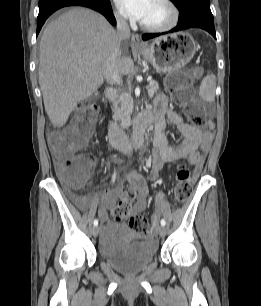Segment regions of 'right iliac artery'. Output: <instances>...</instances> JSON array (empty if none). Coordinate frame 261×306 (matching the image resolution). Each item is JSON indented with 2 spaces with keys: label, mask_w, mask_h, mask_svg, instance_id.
Instances as JSON below:
<instances>
[{
  "label": "right iliac artery",
  "mask_w": 261,
  "mask_h": 306,
  "mask_svg": "<svg viewBox=\"0 0 261 306\" xmlns=\"http://www.w3.org/2000/svg\"><path fill=\"white\" fill-rule=\"evenodd\" d=\"M115 176H116V174L114 173L113 178H112L113 182L115 181ZM93 224H94V226H97L98 225V220L95 219Z\"/></svg>",
  "instance_id": "82829eb1"
}]
</instances>
